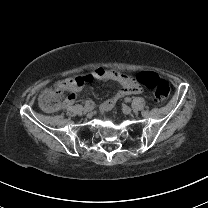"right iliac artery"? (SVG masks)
<instances>
[{"instance_id": "1", "label": "right iliac artery", "mask_w": 208, "mask_h": 208, "mask_svg": "<svg viewBox=\"0 0 208 208\" xmlns=\"http://www.w3.org/2000/svg\"><path fill=\"white\" fill-rule=\"evenodd\" d=\"M90 104H92V100H87V101L85 102V106H88V105H90Z\"/></svg>"}]
</instances>
